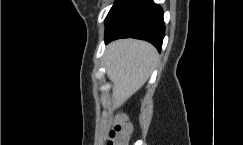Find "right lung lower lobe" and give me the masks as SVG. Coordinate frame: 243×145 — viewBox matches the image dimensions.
Instances as JSON below:
<instances>
[{
    "instance_id": "right-lung-lower-lobe-1",
    "label": "right lung lower lobe",
    "mask_w": 243,
    "mask_h": 145,
    "mask_svg": "<svg viewBox=\"0 0 243 145\" xmlns=\"http://www.w3.org/2000/svg\"><path fill=\"white\" fill-rule=\"evenodd\" d=\"M105 41L133 37L161 51L165 34L162 8L153 0H116L105 19Z\"/></svg>"
}]
</instances>
